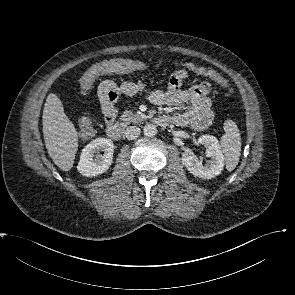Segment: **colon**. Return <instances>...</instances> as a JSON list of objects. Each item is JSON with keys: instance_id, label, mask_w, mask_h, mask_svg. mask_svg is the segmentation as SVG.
Returning a JSON list of instances; mask_svg holds the SVG:
<instances>
[{"instance_id": "5ec220e1", "label": "colon", "mask_w": 295, "mask_h": 295, "mask_svg": "<svg viewBox=\"0 0 295 295\" xmlns=\"http://www.w3.org/2000/svg\"><path fill=\"white\" fill-rule=\"evenodd\" d=\"M190 70L207 75L212 80H214L221 87L226 88L228 92H231L232 89L229 88L228 81L222 77L219 73L214 70L206 69L203 67L192 66L189 67ZM132 72V66L127 62L121 59H111L105 60L94 65L90 68L84 75L82 81L83 90H88L91 88L94 80L103 74H124ZM186 78V72L184 70L174 73L170 78V83L177 87H181L183 81ZM80 135L82 137H91L93 135V125L91 119L88 116H84L80 120Z\"/></svg>"}]
</instances>
